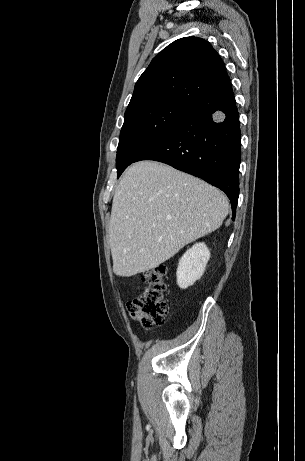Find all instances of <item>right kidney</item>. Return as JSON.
Here are the masks:
<instances>
[{
  "mask_svg": "<svg viewBox=\"0 0 305 461\" xmlns=\"http://www.w3.org/2000/svg\"><path fill=\"white\" fill-rule=\"evenodd\" d=\"M210 258V251L205 243H196L186 251L179 260L176 277L181 289H186L199 280Z\"/></svg>",
  "mask_w": 305,
  "mask_h": 461,
  "instance_id": "ca27d5eb",
  "label": "right kidney"
}]
</instances>
